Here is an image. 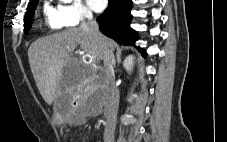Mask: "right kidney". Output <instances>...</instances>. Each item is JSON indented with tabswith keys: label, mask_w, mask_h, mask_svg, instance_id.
<instances>
[{
	"label": "right kidney",
	"mask_w": 227,
	"mask_h": 142,
	"mask_svg": "<svg viewBox=\"0 0 227 142\" xmlns=\"http://www.w3.org/2000/svg\"><path fill=\"white\" fill-rule=\"evenodd\" d=\"M133 60H134V57L132 55H129L128 57L125 58L123 62V66L128 72H131L133 69V65H134Z\"/></svg>",
	"instance_id": "ca27d5eb"
}]
</instances>
